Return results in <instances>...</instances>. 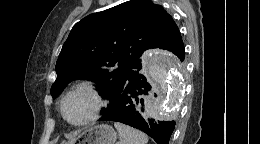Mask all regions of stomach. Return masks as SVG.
<instances>
[{"mask_svg": "<svg viewBox=\"0 0 260 144\" xmlns=\"http://www.w3.org/2000/svg\"><path fill=\"white\" fill-rule=\"evenodd\" d=\"M116 131L112 126L101 124L86 129L80 133L75 141L77 144H115Z\"/></svg>", "mask_w": 260, "mask_h": 144, "instance_id": "1", "label": "stomach"}]
</instances>
